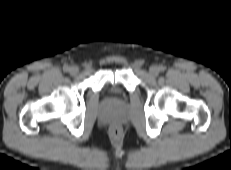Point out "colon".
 Returning a JSON list of instances; mask_svg holds the SVG:
<instances>
[{"mask_svg":"<svg viewBox=\"0 0 231 170\" xmlns=\"http://www.w3.org/2000/svg\"><path fill=\"white\" fill-rule=\"evenodd\" d=\"M112 134H113V135H118V134H119V129L116 128V127L113 128V129H112Z\"/></svg>","mask_w":231,"mask_h":170,"instance_id":"5ec220e1","label":"colon"}]
</instances>
